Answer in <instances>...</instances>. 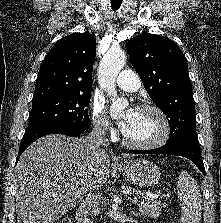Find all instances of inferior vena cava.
Listing matches in <instances>:
<instances>
[{
	"instance_id": "602c4592",
	"label": "inferior vena cava",
	"mask_w": 221,
	"mask_h": 223,
	"mask_svg": "<svg viewBox=\"0 0 221 223\" xmlns=\"http://www.w3.org/2000/svg\"><path fill=\"white\" fill-rule=\"evenodd\" d=\"M87 147L97 158L101 152V146H108L109 140L106 138V125L97 124L86 139ZM94 212H97V203L94 202Z\"/></svg>"
}]
</instances>
